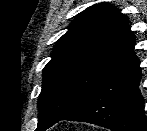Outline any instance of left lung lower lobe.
Wrapping results in <instances>:
<instances>
[{
    "label": "left lung lower lobe",
    "mask_w": 147,
    "mask_h": 131,
    "mask_svg": "<svg viewBox=\"0 0 147 131\" xmlns=\"http://www.w3.org/2000/svg\"><path fill=\"white\" fill-rule=\"evenodd\" d=\"M139 65L138 58L132 55L64 120L92 123L113 131H147Z\"/></svg>",
    "instance_id": "1"
}]
</instances>
